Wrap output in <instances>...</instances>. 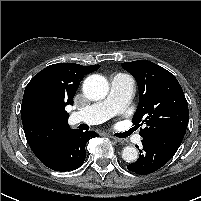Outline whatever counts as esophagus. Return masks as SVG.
Masks as SVG:
<instances>
[{
    "label": "esophagus",
    "instance_id": "obj_1",
    "mask_svg": "<svg viewBox=\"0 0 201 201\" xmlns=\"http://www.w3.org/2000/svg\"><path fill=\"white\" fill-rule=\"evenodd\" d=\"M111 138L116 141L117 143H120V144H125V140L124 139H120V138H117V137H114V136H111Z\"/></svg>",
    "mask_w": 201,
    "mask_h": 201
}]
</instances>
